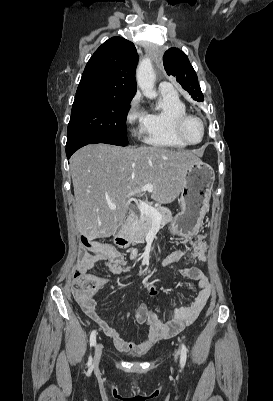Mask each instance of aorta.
<instances>
[{
    "label": "aorta",
    "mask_w": 273,
    "mask_h": 401,
    "mask_svg": "<svg viewBox=\"0 0 273 401\" xmlns=\"http://www.w3.org/2000/svg\"><path fill=\"white\" fill-rule=\"evenodd\" d=\"M136 79L137 84L145 97L149 99L156 97V92L154 91L155 73L149 58H144L139 63L136 72Z\"/></svg>",
    "instance_id": "aorta-1"
}]
</instances>
